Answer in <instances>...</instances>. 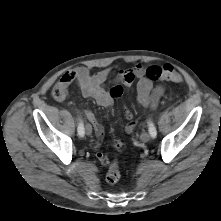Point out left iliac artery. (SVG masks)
Masks as SVG:
<instances>
[{"label":"left iliac artery","mask_w":221,"mask_h":221,"mask_svg":"<svg viewBox=\"0 0 221 221\" xmlns=\"http://www.w3.org/2000/svg\"><path fill=\"white\" fill-rule=\"evenodd\" d=\"M148 129L152 138H155L157 135V131H156L154 123L151 120L148 122Z\"/></svg>","instance_id":"1"}]
</instances>
